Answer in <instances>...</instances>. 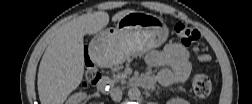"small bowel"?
<instances>
[{
  "instance_id": "small-bowel-1",
  "label": "small bowel",
  "mask_w": 252,
  "mask_h": 104,
  "mask_svg": "<svg viewBox=\"0 0 252 104\" xmlns=\"http://www.w3.org/2000/svg\"><path fill=\"white\" fill-rule=\"evenodd\" d=\"M146 62L151 67H161L157 73L147 76L151 77L153 82L157 81L164 86H182L186 84L192 72L189 51L178 43H169L162 50L149 52Z\"/></svg>"
}]
</instances>
